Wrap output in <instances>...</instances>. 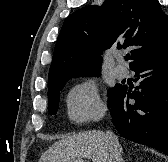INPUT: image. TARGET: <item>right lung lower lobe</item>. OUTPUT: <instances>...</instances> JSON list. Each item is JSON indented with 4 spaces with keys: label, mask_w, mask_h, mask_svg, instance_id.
I'll list each match as a JSON object with an SVG mask.
<instances>
[{
    "label": "right lung lower lobe",
    "mask_w": 168,
    "mask_h": 162,
    "mask_svg": "<svg viewBox=\"0 0 168 162\" xmlns=\"http://www.w3.org/2000/svg\"><path fill=\"white\" fill-rule=\"evenodd\" d=\"M131 70L140 85L133 91L119 87L109 105L115 128L124 138L168 155V48Z\"/></svg>",
    "instance_id": "98d812e1"
}]
</instances>
